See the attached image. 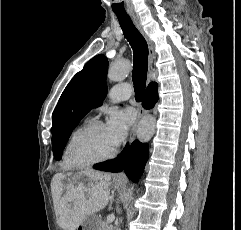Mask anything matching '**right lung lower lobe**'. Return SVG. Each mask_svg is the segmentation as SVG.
Masks as SVG:
<instances>
[{"mask_svg":"<svg viewBox=\"0 0 241 230\" xmlns=\"http://www.w3.org/2000/svg\"><path fill=\"white\" fill-rule=\"evenodd\" d=\"M158 100V85L155 82H151L145 92V96L142 102V106L145 109H151Z\"/></svg>","mask_w":241,"mask_h":230,"instance_id":"right-lung-lower-lobe-1","label":"right lung lower lobe"}]
</instances>
